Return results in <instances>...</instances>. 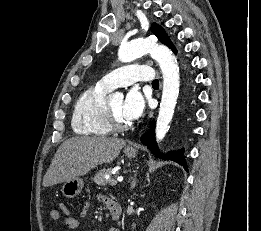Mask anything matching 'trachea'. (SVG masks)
Returning a JSON list of instances; mask_svg holds the SVG:
<instances>
[{
	"instance_id": "3493384b",
	"label": "trachea",
	"mask_w": 261,
	"mask_h": 231,
	"mask_svg": "<svg viewBox=\"0 0 261 231\" xmlns=\"http://www.w3.org/2000/svg\"><path fill=\"white\" fill-rule=\"evenodd\" d=\"M152 85L159 86V81L157 79L153 80Z\"/></svg>"
}]
</instances>
